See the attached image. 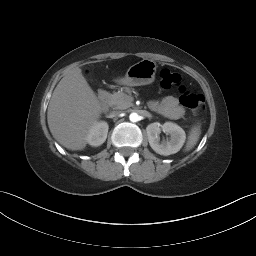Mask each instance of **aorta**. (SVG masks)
I'll use <instances>...</instances> for the list:
<instances>
[{"label": "aorta", "instance_id": "obj_1", "mask_svg": "<svg viewBox=\"0 0 256 256\" xmlns=\"http://www.w3.org/2000/svg\"><path fill=\"white\" fill-rule=\"evenodd\" d=\"M129 119L131 122H137V121H139V115L137 113L133 112L130 114Z\"/></svg>", "mask_w": 256, "mask_h": 256}]
</instances>
